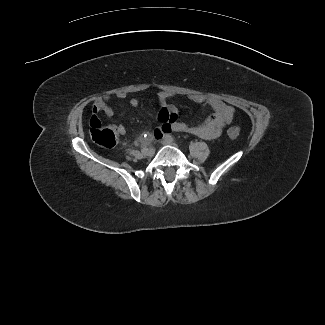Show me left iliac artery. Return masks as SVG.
<instances>
[{
  "instance_id": "left-iliac-artery-1",
  "label": "left iliac artery",
  "mask_w": 325,
  "mask_h": 325,
  "mask_svg": "<svg viewBox=\"0 0 325 325\" xmlns=\"http://www.w3.org/2000/svg\"><path fill=\"white\" fill-rule=\"evenodd\" d=\"M165 138H167L169 140H172V141H175V138L170 134L166 135Z\"/></svg>"
}]
</instances>
